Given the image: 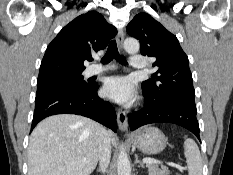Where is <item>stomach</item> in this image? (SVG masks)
<instances>
[{"mask_svg": "<svg viewBox=\"0 0 233 175\" xmlns=\"http://www.w3.org/2000/svg\"><path fill=\"white\" fill-rule=\"evenodd\" d=\"M132 143L143 153L156 155L164 150L167 145V139L158 128L146 127L132 136Z\"/></svg>", "mask_w": 233, "mask_h": 175, "instance_id": "0dacf381", "label": "stomach"}]
</instances>
